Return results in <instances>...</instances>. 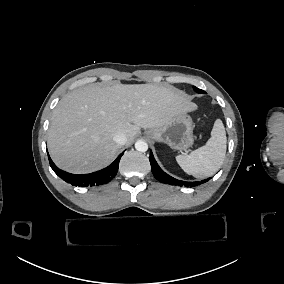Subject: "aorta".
<instances>
[{
	"label": "aorta",
	"mask_w": 284,
	"mask_h": 284,
	"mask_svg": "<svg viewBox=\"0 0 284 284\" xmlns=\"http://www.w3.org/2000/svg\"><path fill=\"white\" fill-rule=\"evenodd\" d=\"M135 149L139 152H146L148 150V144L144 140H138L135 143Z\"/></svg>",
	"instance_id": "obj_1"
}]
</instances>
